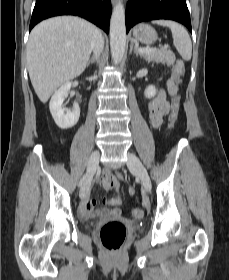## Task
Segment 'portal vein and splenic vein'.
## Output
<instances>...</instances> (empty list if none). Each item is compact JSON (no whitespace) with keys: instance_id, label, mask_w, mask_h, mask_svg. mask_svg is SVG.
<instances>
[{"instance_id":"18ae733b","label":"portal vein and splenic vein","mask_w":229,"mask_h":280,"mask_svg":"<svg viewBox=\"0 0 229 280\" xmlns=\"http://www.w3.org/2000/svg\"><path fill=\"white\" fill-rule=\"evenodd\" d=\"M167 47H168V45H164V46L161 47V49H165ZM155 50H157V48H153V47L152 48H139L138 49V51L140 53H150V52H153Z\"/></svg>"}]
</instances>
